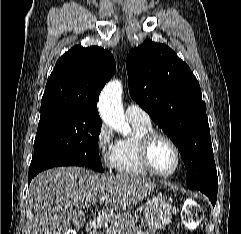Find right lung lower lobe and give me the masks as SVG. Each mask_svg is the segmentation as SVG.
Masks as SVG:
<instances>
[{
	"label": "right lung lower lobe",
	"mask_w": 241,
	"mask_h": 234,
	"mask_svg": "<svg viewBox=\"0 0 241 234\" xmlns=\"http://www.w3.org/2000/svg\"><path fill=\"white\" fill-rule=\"evenodd\" d=\"M58 166H83L80 161L64 155L47 156L36 163H31L29 167V182L39 172Z\"/></svg>",
	"instance_id": "obj_1"
}]
</instances>
